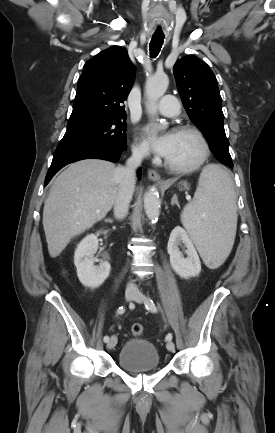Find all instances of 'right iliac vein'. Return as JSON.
<instances>
[{
  "label": "right iliac vein",
  "mask_w": 275,
  "mask_h": 433,
  "mask_svg": "<svg viewBox=\"0 0 275 433\" xmlns=\"http://www.w3.org/2000/svg\"><path fill=\"white\" fill-rule=\"evenodd\" d=\"M134 296H135V293L132 291H127L125 293V299L127 301H131L134 298ZM116 344H117V337L115 335H113V336H111L110 340L107 343V348L112 349L116 346Z\"/></svg>",
  "instance_id": "right-iliac-vein-1"
}]
</instances>
